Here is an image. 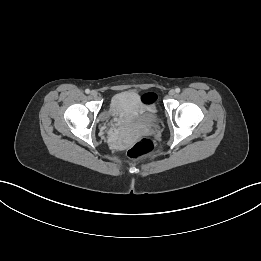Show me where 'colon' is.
I'll use <instances>...</instances> for the list:
<instances>
[{
	"mask_svg": "<svg viewBox=\"0 0 261 261\" xmlns=\"http://www.w3.org/2000/svg\"><path fill=\"white\" fill-rule=\"evenodd\" d=\"M139 103L147 110L146 117L153 119L155 117L154 110L161 103V96L157 92L145 91L139 96ZM154 150V142L149 138H142L130 147L128 156L132 159H140L151 155Z\"/></svg>",
	"mask_w": 261,
	"mask_h": 261,
	"instance_id": "5ec220e1",
	"label": "colon"
}]
</instances>
